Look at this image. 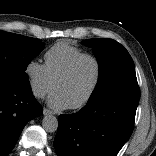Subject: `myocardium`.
I'll return each mask as SVG.
<instances>
[{
  "mask_svg": "<svg viewBox=\"0 0 156 156\" xmlns=\"http://www.w3.org/2000/svg\"><path fill=\"white\" fill-rule=\"evenodd\" d=\"M84 59H91L96 64L97 67L96 79L88 94L80 102L70 106V109L73 110H77L85 107L87 104L90 103V101L97 93L99 86L101 84L102 74H103V66L101 60L94 54L83 53L77 56L76 58H74L71 61V63L68 65V67L64 70V72L54 82V89L56 90L57 85L65 81L66 79H68L76 69L77 65Z\"/></svg>",
  "mask_w": 156,
  "mask_h": 156,
  "instance_id": "obj_1",
  "label": "myocardium"
}]
</instances>
